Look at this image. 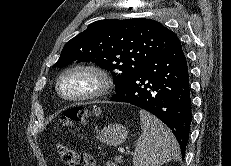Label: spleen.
<instances>
[{"mask_svg": "<svg viewBox=\"0 0 231 166\" xmlns=\"http://www.w3.org/2000/svg\"><path fill=\"white\" fill-rule=\"evenodd\" d=\"M139 114L142 134L136 143L133 165L162 166L178 160L180 147L170 129L145 110H140Z\"/></svg>", "mask_w": 231, "mask_h": 166, "instance_id": "1", "label": "spleen"}]
</instances>
